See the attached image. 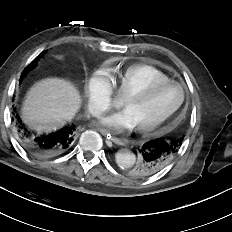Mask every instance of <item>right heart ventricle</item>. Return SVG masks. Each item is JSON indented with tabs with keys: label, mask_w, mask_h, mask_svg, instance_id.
Segmentation results:
<instances>
[{
	"label": "right heart ventricle",
	"mask_w": 232,
	"mask_h": 232,
	"mask_svg": "<svg viewBox=\"0 0 232 232\" xmlns=\"http://www.w3.org/2000/svg\"><path fill=\"white\" fill-rule=\"evenodd\" d=\"M105 70L112 90L124 97L150 84L169 80L161 70L146 64H134L123 69L106 64Z\"/></svg>",
	"instance_id": "1"
}]
</instances>
